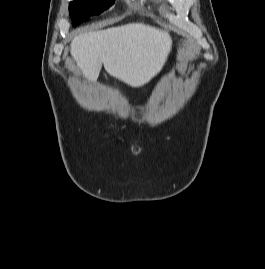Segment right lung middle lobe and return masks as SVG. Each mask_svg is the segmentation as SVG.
<instances>
[{"label":"right lung middle lobe","mask_w":265,"mask_h":269,"mask_svg":"<svg viewBox=\"0 0 265 269\" xmlns=\"http://www.w3.org/2000/svg\"><path fill=\"white\" fill-rule=\"evenodd\" d=\"M115 0H74L69 5L70 16L73 24L77 25L90 16L100 14L108 9Z\"/></svg>","instance_id":"1"}]
</instances>
